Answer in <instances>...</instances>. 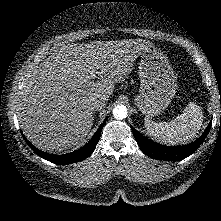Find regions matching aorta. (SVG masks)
<instances>
[{"label": "aorta", "mask_w": 221, "mask_h": 221, "mask_svg": "<svg viewBox=\"0 0 221 221\" xmlns=\"http://www.w3.org/2000/svg\"><path fill=\"white\" fill-rule=\"evenodd\" d=\"M127 108L124 105H117L113 109V116L118 120L125 119L127 117Z\"/></svg>", "instance_id": "obj_1"}]
</instances>
